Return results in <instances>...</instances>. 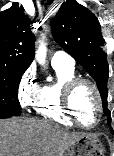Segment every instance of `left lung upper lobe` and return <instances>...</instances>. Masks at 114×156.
Listing matches in <instances>:
<instances>
[{"instance_id":"obj_1","label":"left lung upper lobe","mask_w":114,"mask_h":156,"mask_svg":"<svg viewBox=\"0 0 114 156\" xmlns=\"http://www.w3.org/2000/svg\"><path fill=\"white\" fill-rule=\"evenodd\" d=\"M51 27L55 41L96 80L103 111L111 125L107 109L109 67L107 54L102 51L104 39L98 19L75 0H67L52 20Z\"/></svg>"}]
</instances>
